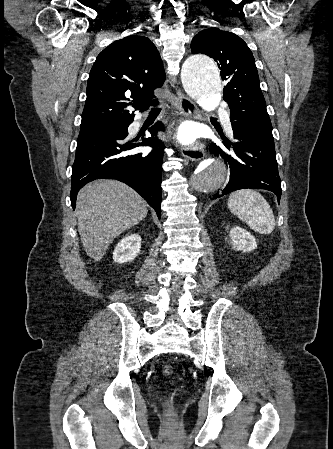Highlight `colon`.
<instances>
[{"label":"colon","mask_w":333,"mask_h":449,"mask_svg":"<svg viewBox=\"0 0 333 449\" xmlns=\"http://www.w3.org/2000/svg\"><path fill=\"white\" fill-rule=\"evenodd\" d=\"M162 374L165 377H171L174 374V369L171 365H164L162 368Z\"/></svg>","instance_id":"5ec220e1"}]
</instances>
